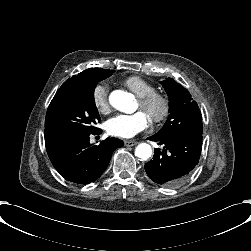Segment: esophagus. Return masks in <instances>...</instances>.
<instances>
[{"label": "esophagus", "mask_w": 251, "mask_h": 251, "mask_svg": "<svg viewBox=\"0 0 251 251\" xmlns=\"http://www.w3.org/2000/svg\"><path fill=\"white\" fill-rule=\"evenodd\" d=\"M136 144H138V142H136V141H132V140H125L124 141V145L128 146V147L135 146Z\"/></svg>", "instance_id": "34e87169"}]
</instances>
